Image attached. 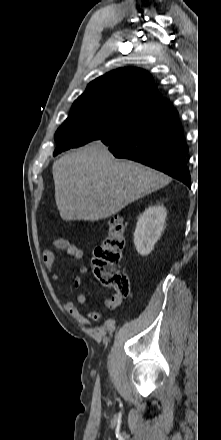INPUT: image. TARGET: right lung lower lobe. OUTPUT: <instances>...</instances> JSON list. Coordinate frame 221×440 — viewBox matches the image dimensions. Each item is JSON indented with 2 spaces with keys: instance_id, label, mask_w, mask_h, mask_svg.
<instances>
[{
  "instance_id": "1",
  "label": "right lung lower lobe",
  "mask_w": 221,
  "mask_h": 440,
  "mask_svg": "<svg viewBox=\"0 0 221 440\" xmlns=\"http://www.w3.org/2000/svg\"><path fill=\"white\" fill-rule=\"evenodd\" d=\"M99 140L116 158L140 162L190 187L188 148L177 111L167 99L134 112Z\"/></svg>"
}]
</instances>
